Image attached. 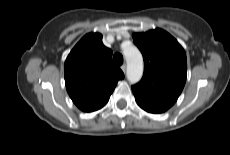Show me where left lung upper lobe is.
Returning <instances> with one entry per match:
<instances>
[{"mask_svg":"<svg viewBox=\"0 0 230 155\" xmlns=\"http://www.w3.org/2000/svg\"><path fill=\"white\" fill-rule=\"evenodd\" d=\"M133 41L144 58V74L132 86L135 97L170 108L186 82V53L177 40L162 29L134 33Z\"/></svg>","mask_w":230,"mask_h":155,"instance_id":"1","label":"left lung upper lobe"}]
</instances>
